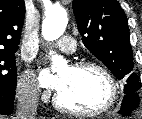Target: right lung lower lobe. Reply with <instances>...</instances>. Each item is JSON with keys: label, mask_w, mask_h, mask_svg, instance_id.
I'll return each mask as SVG.
<instances>
[{"label": "right lung lower lobe", "mask_w": 142, "mask_h": 119, "mask_svg": "<svg viewBox=\"0 0 142 119\" xmlns=\"http://www.w3.org/2000/svg\"><path fill=\"white\" fill-rule=\"evenodd\" d=\"M15 92H0V114L10 115L14 108Z\"/></svg>", "instance_id": "1"}]
</instances>
